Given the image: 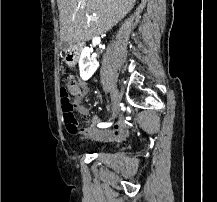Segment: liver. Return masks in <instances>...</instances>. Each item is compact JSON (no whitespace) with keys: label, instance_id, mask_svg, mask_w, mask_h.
<instances>
[{"label":"liver","instance_id":"obj_1","mask_svg":"<svg viewBox=\"0 0 217 202\" xmlns=\"http://www.w3.org/2000/svg\"><path fill=\"white\" fill-rule=\"evenodd\" d=\"M61 42H88L125 18L136 0H57ZM99 18V20H93Z\"/></svg>","mask_w":217,"mask_h":202}]
</instances>
